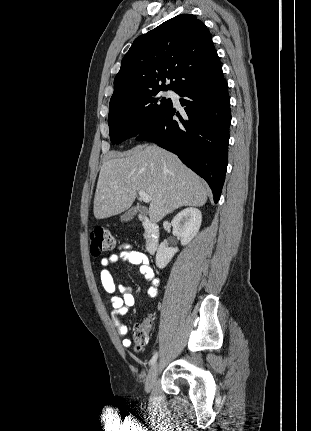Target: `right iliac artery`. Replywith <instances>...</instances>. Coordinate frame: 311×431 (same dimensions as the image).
Segmentation results:
<instances>
[{
    "label": "right iliac artery",
    "instance_id": "obj_1",
    "mask_svg": "<svg viewBox=\"0 0 311 431\" xmlns=\"http://www.w3.org/2000/svg\"><path fill=\"white\" fill-rule=\"evenodd\" d=\"M157 356H158V353H155L153 355V357L151 358L150 363H149L151 366L156 362Z\"/></svg>",
    "mask_w": 311,
    "mask_h": 431
}]
</instances>
